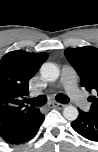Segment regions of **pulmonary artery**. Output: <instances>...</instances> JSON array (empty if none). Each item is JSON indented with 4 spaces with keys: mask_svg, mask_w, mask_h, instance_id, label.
I'll list each match as a JSON object with an SVG mask.
<instances>
[{
    "mask_svg": "<svg viewBox=\"0 0 98 152\" xmlns=\"http://www.w3.org/2000/svg\"><path fill=\"white\" fill-rule=\"evenodd\" d=\"M60 84L65 89L68 96L76 105L83 109L89 108V103L84 94L78 89L77 78L74 70L68 66H64L61 71Z\"/></svg>",
    "mask_w": 98,
    "mask_h": 152,
    "instance_id": "e3ab8cb5",
    "label": "pulmonary artery"
}]
</instances>
